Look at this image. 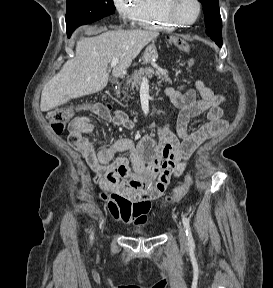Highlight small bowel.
Wrapping results in <instances>:
<instances>
[{"label": "small bowel", "mask_w": 273, "mask_h": 288, "mask_svg": "<svg viewBox=\"0 0 273 288\" xmlns=\"http://www.w3.org/2000/svg\"><path fill=\"white\" fill-rule=\"evenodd\" d=\"M165 93L180 112L176 133L164 127L158 131L157 140L148 134L137 143L121 138L97 150L86 137L94 130L87 116L76 117L69 126V145L81 153L94 172L93 180L116 220L145 223L151 201L165 192L172 178L182 175L192 153L228 126L222 107L225 97L214 94L203 81L197 80L194 89L182 85L168 87ZM89 111L115 126L134 128V121L121 110L112 113L109 106L95 104ZM199 115L207 121L189 132L190 120ZM124 152L128 156L116 157Z\"/></svg>", "instance_id": "small-bowel-1"}]
</instances>
